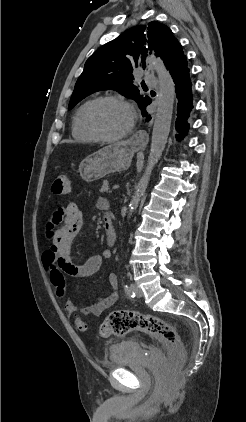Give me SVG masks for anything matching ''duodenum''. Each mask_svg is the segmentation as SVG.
<instances>
[{
	"mask_svg": "<svg viewBox=\"0 0 246 422\" xmlns=\"http://www.w3.org/2000/svg\"><path fill=\"white\" fill-rule=\"evenodd\" d=\"M104 229L107 244L113 246L116 242V232L113 222L108 216L104 218Z\"/></svg>",
	"mask_w": 246,
	"mask_h": 422,
	"instance_id": "duodenum-1",
	"label": "duodenum"
}]
</instances>
